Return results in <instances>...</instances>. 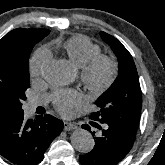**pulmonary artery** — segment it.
<instances>
[{
  "label": "pulmonary artery",
  "instance_id": "pulmonary-artery-1",
  "mask_svg": "<svg viewBox=\"0 0 165 165\" xmlns=\"http://www.w3.org/2000/svg\"><path fill=\"white\" fill-rule=\"evenodd\" d=\"M44 99H40V98H32L28 101L27 103V109L29 112L34 111L38 106H40L41 104H43Z\"/></svg>",
  "mask_w": 165,
  "mask_h": 165
}]
</instances>
